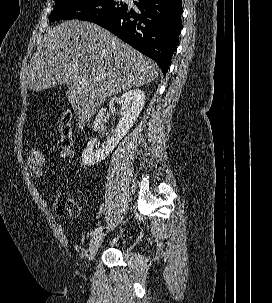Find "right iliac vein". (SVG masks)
Instances as JSON below:
<instances>
[{
	"label": "right iliac vein",
	"mask_w": 272,
	"mask_h": 303,
	"mask_svg": "<svg viewBox=\"0 0 272 303\" xmlns=\"http://www.w3.org/2000/svg\"><path fill=\"white\" fill-rule=\"evenodd\" d=\"M106 233L104 232H99L97 235L93 236V238L90 241V245H89V255H88V259L90 261H93L95 258V255L105 237Z\"/></svg>",
	"instance_id": "1"
}]
</instances>
